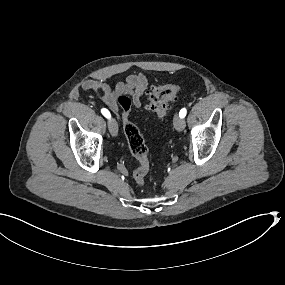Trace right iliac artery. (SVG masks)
Listing matches in <instances>:
<instances>
[{
	"mask_svg": "<svg viewBox=\"0 0 285 285\" xmlns=\"http://www.w3.org/2000/svg\"><path fill=\"white\" fill-rule=\"evenodd\" d=\"M101 113L108 119L111 117L110 112L105 108L101 109Z\"/></svg>",
	"mask_w": 285,
	"mask_h": 285,
	"instance_id": "1",
	"label": "right iliac artery"
}]
</instances>
